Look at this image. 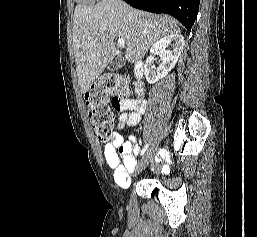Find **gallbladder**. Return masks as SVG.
Returning a JSON list of instances; mask_svg holds the SVG:
<instances>
[{
  "mask_svg": "<svg viewBox=\"0 0 257 237\" xmlns=\"http://www.w3.org/2000/svg\"><path fill=\"white\" fill-rule=\"evenodd\" d=\"M122 64H123V59L118 57L111 63V65L109 66V70L111 71L117 70L122 66Z\"/></svg>",
  "mask_w": 257,
  "mask_h": 237,
  "instance_id": "gallbladder-1",
  "label": "gallbladder"
}]
</instances>
